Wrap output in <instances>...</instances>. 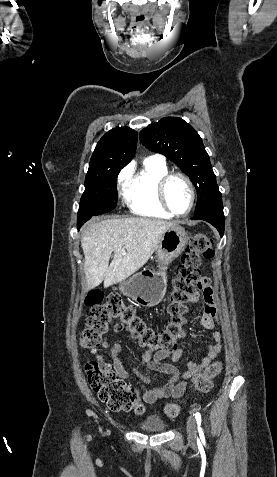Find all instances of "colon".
Returning <instances> with one entry per match:
<instances>
[{
    "mask_svg": "<svg viewBox=\"0 0 277 477\" xmlns=\"http://www.w3.org/2000/svg\"><path fill=\"white\" fill-rule=\"evenodd\" d=\"M212 239L197 233L189 241L173 280V290L168 306L169 323L157 330L149 326L139 316L132 305L125 304L118 295H109L104 301L101 290H92L85 297V305L90 309L85 318V328L79 333V343L84 348H96L104 339L111 324L119 320L131 336L141 346L155 351H174L177 341L185 335L184 324L188 304L198 295L202 286V258L214 256ZM222 370V364L215 362L194 377V391L205 393L212 388V379ZM88 383L98 398L114 411L143 410L137 392L127 386L110 368L107 362L91 360L85 366ZM181 412L180 403H170L165 407L169 418Z\"/></svg>",
    "mask_w": 277,
    "mask_h": 477,
    "instance_id": "1",
    "label": "colon"
}]
</instances>
